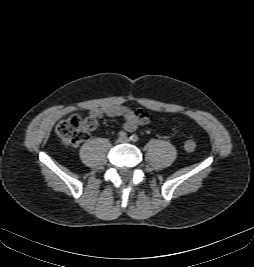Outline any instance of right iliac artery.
Returning <instances> with one entry per match:
<instances>
[{
  "mask_svg": "<svg viewBox=\"0 0 254 267\" xmlns=\"http://www.w3.org/2000/svg\"><path fill=\"white\" fill-rule=\"evenodd\" d=\"M118 135H119V138L123 139V138H126L127 133H126L125 131H120V132L118 133Z\"/></svg>",
  "mask_w": 254,
  "mask_h": 267,
  "instance_id": "1",
  "label": "right iliac artery"
}]
</instances>
